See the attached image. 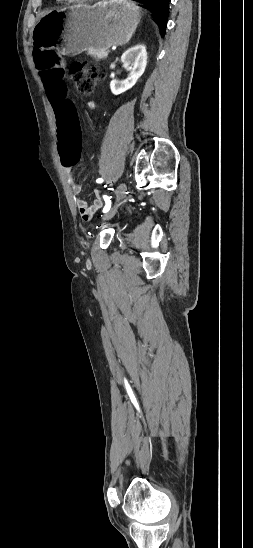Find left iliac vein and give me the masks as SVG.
Here are the masks:
<instances>
[{
  "instance_id": "4c4485c4",
  "label": "left iliac vein",
  "mask_w": 253,
  "mask_h": 548,
  "mask_svg": "<svg viewBox=\"0 0 253 548\" xmlns=\"http://www.w3.org/2000/svg\"><path fill=\"white\" fill-rule=\"evenodd\" d=\"M125 192H126V184L125 183H120L116 189V192H115V195H116V203L114 204V206L103 216V220H109L111 219L119 205H120V201L124 198L125 196Z\"/></svg>"
}]
</instances>
